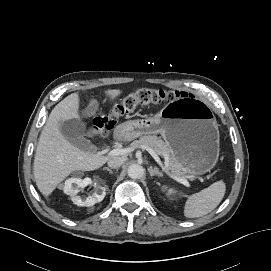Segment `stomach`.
Returning a JSON list of instances; mask_svg holds the SVG:
<instances>
[{
    "mask_svg": "<svg viewBox=\"0 0 271 271\" xmlns=\"http://www.w3.org/2000/svg\"><path fill=\"white\" fill-rule=\"evenodd\" d=\"M116 133L126 140L161 134L185 177L205 174L218 161V124L209 106L198 99L172 100L152 117L120 124Z\"/></svg>",
    "mask_w": 271,
    "mask_h": 271,
    "instance_id": "1",
    "label": "stomach"
}]
</instances>
